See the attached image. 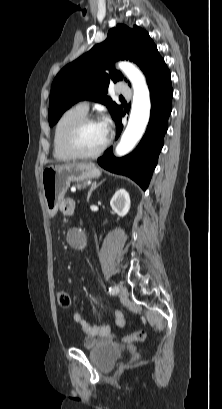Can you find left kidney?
Masks as SVG:
<instances>
[{
    "mask_svg": "<svg viewBox=\"0 0 222 409\" xmlns=\"http://www.w3.org/2000/svg\"><path fill=\"white\" fill-rule=\"evenodd\" d=\"M130 205V196L125 189L116 191L110 201L112 210L121 217H124L129 212Z\"/></svg>",
    "mask_w": 222,
    "mask_h": 409,
    "instance_id": "obj_1",
    "label": "left kidney"
}]
</instances>
